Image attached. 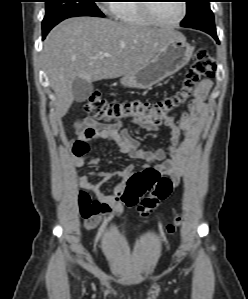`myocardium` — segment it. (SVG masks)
<instances>
[{"mask_svg":"<svg viewBox=\"0 0 248 299\" xmlns=\"http://www.w3.org/2000/svg\"><path fill=\"white\" fill-rule=\"evenodd\" d=\"M146 2H153V1H146ZM181 2V15L180 17L174 22H164L161 21L154 13L153 7L155 3H145L142 5L144 13L148 17V19L156 25L163 26V27H176L183 22L187 14V4L184 0H180Z\"/></svg>","mask_w":248,"mask_h":299,"instance_id":"obj_1","label":"myocardium"}]
</instances>
